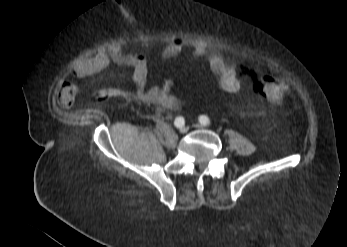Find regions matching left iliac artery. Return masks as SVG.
Wrapping results in <instances>:
<instances>
[{
  "label": "left iliac artery",
  "mask_w": 347,
  "mask_h": 247,
  "mask_svg": "<svg viewBox=\"0 0 347 247\" xmlns=\"http://www.w3.org/2000/svg\"><path fill=\"white\" fill-rule=\"evenodd\" d=\"M199 121L204 126H209L211 124L210 119L205 115H201L199 117Z\"/></svg>",
  "instance_id": "1"
}]
</instances>
